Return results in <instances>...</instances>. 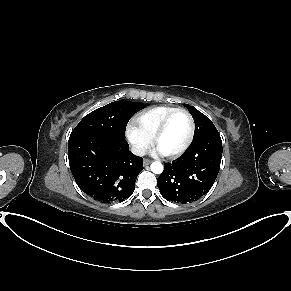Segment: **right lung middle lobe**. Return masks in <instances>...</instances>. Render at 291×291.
I'll return each instance as SVG.
<instances>
[{"label": "right lung middle lobe", "mask_w": 291, "mask_h": 291, "mask_svg": "<svg viewBox=\"0 0 291 291\" xmlns=\"http://www.w3.org/2000/svg\"><path fill=\"white\" fill-rule=\"evenodd\" d=\"M141 104L115 101L86 115L70 138L83 135H106L125 139V130L130 118L141 108Z\"/></svg>", "instance_id": "1"}]
</instances>
